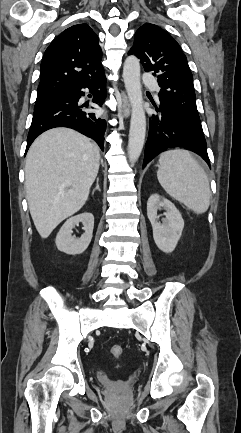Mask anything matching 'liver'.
<instances>
[{
  "label": "liver",
  "instance_id": "6515ba94",
  "mask_svg": "<svg viewBox=\"0 0 241 433\" xmlns=\"http://www.w3.org/2000/svg\"><path fill=\"white\" fill-rule=\"evenodd\" d=\"M99 150L68 128H54L31 145L25 165V188L34 225L47 238L88 199L99 170Z\"/></svg>",
  "mask_w": 241,
  "mask_h": 433
}]
</instances>
